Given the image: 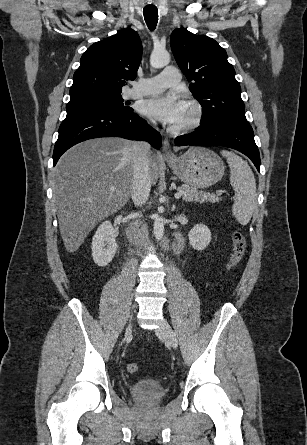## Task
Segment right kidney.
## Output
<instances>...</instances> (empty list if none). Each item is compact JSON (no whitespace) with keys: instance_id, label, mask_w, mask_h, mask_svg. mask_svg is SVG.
Masks as SVG:
<instances>
[{"instance_id":"obj_1","label":"right kidney","mask_w":307,"mask_h":445,"mask_svg":"<svg viewBox=\"0 0 307 445\" xmlns=\"http://www.w3.org/2000/svg\"><path fill=\"white\" fill-rule=\"evenodd\" d=\"M117 235L109 220L98 227L92 241V257L98 267H106L112 261L117 251Z\"/></svg>"}]
</instances>
